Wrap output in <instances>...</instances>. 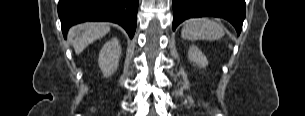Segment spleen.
Masks as SVG:
<instances>
[{
    "label": "spleen",
    "mask_w": 305,
    "mask_h": 116,
    "mask_svg": "<svg viewBox=\"0 0 305 116\" xmlns=\"http://www.w3.org/2000/svg\"><path fill=\"white\" fill-rule=\"evenodd\" d=\"M181 35L187 40H216L224 35L223 28L213 20L208 18H196L186 21L182 28Z\"/></svg>",
    "instance_id": "1"
}]
</instances>
